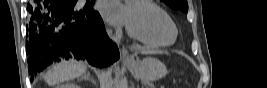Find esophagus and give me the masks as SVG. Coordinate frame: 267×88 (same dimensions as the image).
Here are the masks:
<instances>
[{
  "mask_svg": "<svg viewBox=\"0 0 267 88\" xmlns=\"http://www.w3.org/2000/svg\"><path fill=\"white\" fill-rule=\"evenodd\" d=\"M121 55L122 61L125 63H130L134 60L133 57L128 53L127 49L124 47L121 48Z\"/></svg>",
  "mask_w": 267,
  "mask_h": 88,
  "instance_id": "obj_1",
  "label": "esophagus"
}]
</instances>
